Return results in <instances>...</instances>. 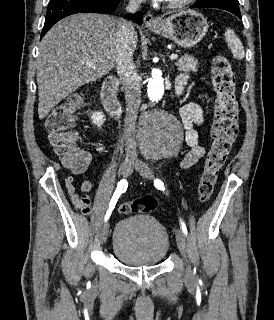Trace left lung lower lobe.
Here are the masks:
<instances>
[{
    "instance_id": "left-lung-lower-lobe-1",
    "label": "left lung lower lobe",
    "mask_w": 274,
    "mask_h": 320,
    "mask_svg": "<svg viewBox=\"0 0 274 320\" xmlns=\"http://www.w3.org/2000/svg\"><path fill=\"white\" fill-rule=\"evenodd\" d=\"M202 7H205V8H220V9H224V10H227L233 14H235L236 16H238L240 19H241V13H240V10H234V9H227V8H223V7H220V6H215V5H210V4H204V3H196L194 5H192L190 8H202Z\"/></svg>"
}]
</instances>
